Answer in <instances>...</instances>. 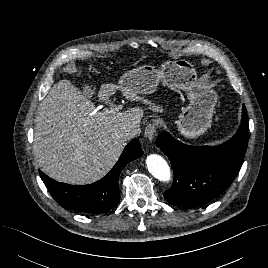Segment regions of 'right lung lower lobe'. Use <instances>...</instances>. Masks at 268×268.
Wrapping results in <instances>:
<instances>
[{"label": "right lung lower lobe", "instance_id": "1", "mask_svg": "<svg viewBox=\"0 0 268 268\" xmlns=\"http://www.w3.org/2000/svg\"><path fill=\"white\" fill-rule=\"evenodd\" d=\"M142 155L139 140L130 141L111 171L101 180L90 185L76 186L60 183L41 171L40 176L52 197L63 208L82 213L100 214L118 204L120 200L119 174L129 162Z\"/></svg>", "mask_w": 268, "mask_h": 268}]
</instances>
